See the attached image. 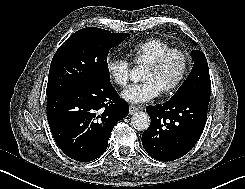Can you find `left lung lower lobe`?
<instances>
[{"label":"left lung lower lobe","instance_id":"obj_1","mask_svg":"<svg viewBox=\"0 0 245 189\" xmlns=\"http://www.w3.org/2000/svg\"><path fill=\"white\" fill-rule=\"evenodd\" d=\"M208 104L207 99L185 96L148 106L151 123L142 135L146 152L160 161L176 160L189 152L205 127Z\"/></svg>","mask_w":245,"mask_h":189}]
</instances>
